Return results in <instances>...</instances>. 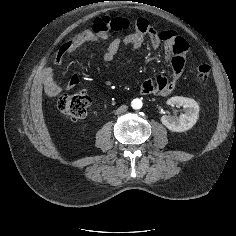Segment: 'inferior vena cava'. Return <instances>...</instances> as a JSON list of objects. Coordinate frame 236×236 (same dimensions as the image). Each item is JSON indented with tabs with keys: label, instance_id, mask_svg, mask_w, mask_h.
I'll use <instances>...</instances> for the list:
<instances>
[{
	"label": "inferior vena cava",
	"instance_id": "inferior-vena-cava-1",
	"mask_svg": "<svg viewBox=\"0 0 236 236\" xmlns=\"http://www.w3.org/2000/svg\"><path fill=\"white\" fill-rule=\"evenodd\" d=\"M128 109L127 105H121L117 110H116V114H121L123 112H125Z\"/></svg>",
	"mask_w": 236,
	"mask_h": 236
}]
</instances>
